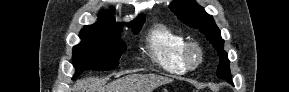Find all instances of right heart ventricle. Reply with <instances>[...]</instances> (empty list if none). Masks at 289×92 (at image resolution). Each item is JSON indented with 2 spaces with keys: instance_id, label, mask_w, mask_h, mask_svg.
<instances>
[{
  "instance_id": "e07e8e85",
  "label": "right heart ventricle",
  "mask_w": 289,
  "mask_h": 92,
  "mask_svg": "<svg viewBox=\"0 0 289 92\" xmlns=\"http://www.w3.org/2000/svg\"><path fill=\"white\" fill-rule=\"evenodd\" d=\"M185 37L164 25H157L148 34L147 49L150 58L171 74H184L187 68L183 62Z\"/></svg>"
}]
</instances>
